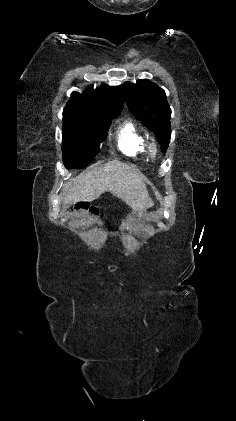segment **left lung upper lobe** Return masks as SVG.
I'll return each mask as SVG.
<instances>
[{
	"label": "left lung upper lobe",
	"mask_w": 236,
	"mask_h": 421,
	"mask_svg": "<svg viewBox=\"0 0 236 421\" xmlns=\"http://www.w3.org/2000/svg\"><path fill=\"white\" fill-rule=\"evenodd\" d=\"M122 89L130 112L154 132L165 153L171 137V109L164 90L147 79L138 80L136 84L125 82Z\"/></svg>",
	"instance_id": "left-lung-upper-lobe-1"
}]
</instances>
